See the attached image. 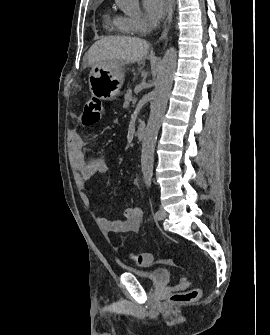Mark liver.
<instances>
[{
    "label": "liver",
    "mask_w": 270,
    "mask_h": 335,
    "mask_svg": "<svg viewBox=\"0 0 270 335\" xmlns=\"http://www.w3.org/2000/svg\"><path fill=\"white\" fill-rule=\"evenodd\" d=\"M150 44L142 38H100L87 52L89 66H106L107 70H117L123 64H135L144 60Z\"/></svg>",
    "instance_id": "6515ba94"
}]
</instances>
